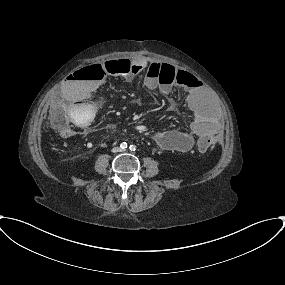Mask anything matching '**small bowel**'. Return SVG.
I'll use <instances>...</instances> for the list:
<instances>
[{
	"instance_id": "1",
	"label": "small bowel",
	"mask_w": 285,
	"mask_h": 285,
	"mask_svg": "<svg viewBox=\"0 0 285 285\" xmlns=\"http://www.w3.org/2000/svg\"><path fill=\"white\" fill-rule=\"evenodd\" d=\"M133 63L138 67L137 72L150 70L156 64L155 61L145 59ZM183 75L185 105L191 114L190 131L171 129L156 132L153 135V140L162 149L186 151L194 145L200 149L202 136L206 134L217 135L219 132L218 121L209 114L204 104V91L196 84L197 78L188 71H183ZM100 83V80L83 81L76 76L69 75L61 88V95L63 99L72 103L71 109L85 119L91 114L93 108L90 96L100 87ZM144 85L149 90L159 89L163 93L172 91V87L160 85L152 76L145 77ZM74 121L79 125L77 117H74ZM192 134L197 136L196 141H194Z\"/></svg>"
}]
</instances>
